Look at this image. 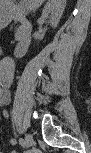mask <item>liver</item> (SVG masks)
Returning <instances> with one entry per match:
<instances>
[{
  "mask_svg": "<svg viewBox=\"0 0 91 153\" xmlns=\"http://www.w3.org/2000/svg\"><path fill=\"white\" fill-rule=\"evenodd\" d=\"M64 4H66L65 0H62ZM27 7L30 9V11H35L37 8H39L44 0H26Z\"/></svg>",
  "mask_w": 91,
  "mask_h": 153,
  "instance_id": "liver-1",
  "label": "liver"
}]
</instances>
